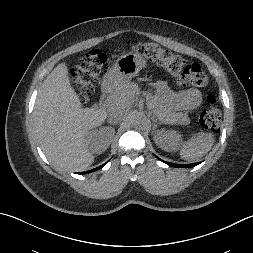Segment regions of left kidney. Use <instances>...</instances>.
I'll return each mask as SVG.
<instances>
[{
	"instance_id": "5707ae66",
	"label": "left kidney",
	"mask_w": 253,
	"mask_h": 253,
	"mask_svg": "<svg viewBox=\"0 0 253 253\" xmlns=\"http://www.w3.org/2000/svg\"><path fill=\"white\" fill-rule=\"evenodd\" d=\"M174 135L172 132H168L165 130H160L157 135L154 136L155 143L158 147L165 151H173L175 150L173 138Z\"/></svg>"
}]
</instances>
